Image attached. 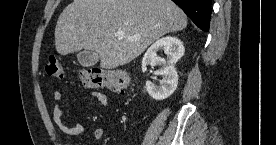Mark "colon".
<instances>
[{
    "label": "colon",
    "instance_id": "5ec220e1",
    "mask_svg": "<svg viewBox=\"0 0 276 145\" xmlns=\"http://www.w3.org/2000/svg\"><path fill=\"white\" fill-rule=\"evenodd\" d=\"M44 71L51 78L62 79L64 77L60 60L56 56L48 58ZM78 76L81 83L90 88H107L118 92H125L129 88L127 73L119 69L93 66L80 69Z\"/></svg>",
    "mask_w": 276,
    "mask_h": 145
}]
</instances>
